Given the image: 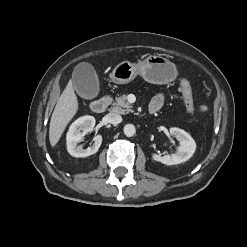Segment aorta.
Listing matches in <instances>:
<instances>
[{
  "mask_svg": "<svg viewBox=\"0 0 247 247\" xmlns=\"http://www.w3.org/2000/svg\"><path fill=\"white\" fill-rule=\"evenodd\" d=\"M123 132L127 137H132L136 133V128L133 124H126L124 126Z\"/></svg>",
  "mask_w": 247,
  "mask_h": 247,
  "instance_id": "aorta-1",
  "label": "aorta"
}]
</instances>
